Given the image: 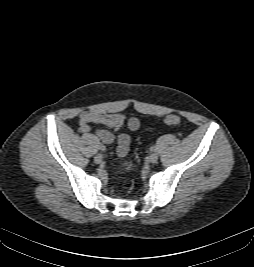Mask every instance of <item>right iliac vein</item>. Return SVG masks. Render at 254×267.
Listing matches in <instances>:
<instances>
[{"instance_id": "obj_1", "label": "right iliac vein", "mask_w": 254, "mask_h": 267, "mask_svg": "<svg viewBox=\"0 0 254 267\" xmlns=\"http://www.w3.org/2000/svg\"><path fill=\"white\" fill-rule=\"evenodd\" d=\"M103 160V156L101 154H97L95 157H94V162L99 164L101 163Z\"/></svg>"}]
</instances>
